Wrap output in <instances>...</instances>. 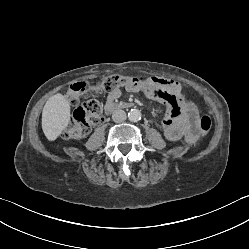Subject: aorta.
Returning <instances> with one entry per match:
<instances>
[{
    "label": "aorta",
    "mask_w": 249,
    "mask_h": 249,
    "mask_svg": "<svg viewBox=\"0 0 249 249\" xmlns=\"http://www.w3.org/2000/svg\"><path fill=\"white\" fill-rule=\"evenodd\" d=\"M128 118L130 121L137 122L141 119V112L138 109H131L128 112Z\"/></svg>",
    "instance_id": "762f6f07"
}]
</instances>
